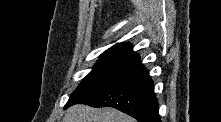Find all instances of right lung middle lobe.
I'll return each mask as SVG.
<instances>
[{"instance_id":"dd1d6c3e","label":"right lung middle lobe","mask_w":221,"mask_h":122,"mask_svg":"<svg viewBox=\"0 0 221 122\" xmlns=\"http://www.w3.org/2000/svg\"><path fill=\"white\" fill-rule=\"evenodd\" d=\"M138 61L125 59H101L70 96L66 107L97 94L125 78Z\"/></svg>"}]
</instances>
